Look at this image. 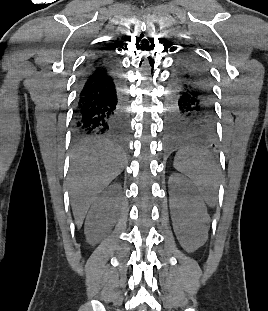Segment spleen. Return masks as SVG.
Returning a JSON list of instances; mask_svg holds the SVG:
<instances>
[{"instance_id": "3e777b00", "label": "spleen", "mask_w": 268, "mask_h": 311, "mask_svg": "<svg viewBox=\"0 0 268 311\" xmlns=\"http://www.w3.org/2000/svg\"><path fill=\"white\" fill-rule=\"evenodd\" d=\"M216 165L213 152L195 148L180 150L174 160V167L192 180L210 207H214L217 200L219 170Z\"/></svg>"}]
</instances>
